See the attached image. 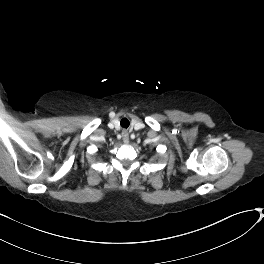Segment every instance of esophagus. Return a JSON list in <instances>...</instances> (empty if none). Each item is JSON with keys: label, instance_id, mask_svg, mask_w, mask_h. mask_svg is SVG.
Here are the masks:
<instances>
[{"label": "esophagus", "instance_id": "esophagus-1", "mask_svg": "<svg viewBox=\"0 0 264 264\" xmlns=\"http://www.w3.org/2000/svg\"><path fill=\"white\" fill-rule=\"evenodd\" d=\"M122 139L125 144L129 143V133L127 130L122 131Z\"/></svg>", "mask_w": 264, "mask_h": 264}]
</instances>
